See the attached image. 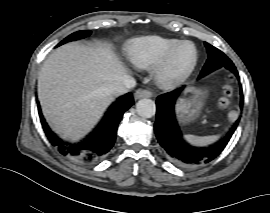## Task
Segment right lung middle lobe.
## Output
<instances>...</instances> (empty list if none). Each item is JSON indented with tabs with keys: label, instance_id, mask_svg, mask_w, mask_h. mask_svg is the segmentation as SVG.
I'll use <instances>...</instances> for the list:
<instances>
[{
	"label": "right lung middle lobe",
	"instance_id": "right-lung-middle-lobe-1",
	"mask_svg": "<svg viewBox=\"0 0 270 213\" xmlns=\"http://www.w3.org/2000/svg\"><path fill=\"white\" fill-rule=\"evenodd\" d=\"M90 34H91V32L90 31H87V30L75 32V33L69 35L68 37H66L57 46H60V45H62L64 43H67L69 41H73V40L85 38V37L89 36Z\"/></svg>",
	"mask_w": 270,
	"mask_h": 213
}]
</instances>
